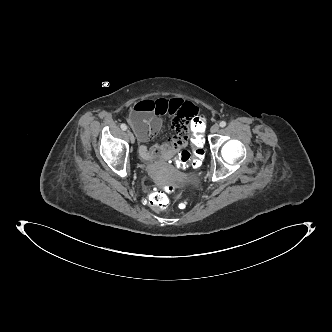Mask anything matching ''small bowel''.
<instances>
[{
  "label": "small bowel",
  "instance_id": "c3829d8e",
  "mask_svg": "<svg viewBox=\"0 0 332 332\" xmlns=\"http://www.w3.org/2000/svg\"><path fill=\"white\" fill-rule=\"evenodd\" d=\"M169 116L176 134L169 137L167 144L147 146L160 130L163 117ZM193 117L201 119L204 127V118L199 114V108L192 102L182 98H144L137 102L130 114V124L139 141L141 157L148 162L167 159L179 153L191 141L189 121Z\"/></svg>",
  "mask_w": 332,
  "mask_h": 332
}]
</instances>
